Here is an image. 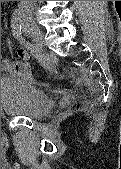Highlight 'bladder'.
Returning a JSON list of instances; mask_svg holds the SVG:
<instances>
[{"instance_id": "obj_1", "label": "bladder", "mask_w": 121, "mask_h": 169, "mask_svg": "<svg viewBox=\"0 0 121 169\" xmlns=\"http://www.w3.org/2000/svg\"><path fill=\"white\" fill-rule=\"evenodd\" d=\"M50 97L18 78H1V107L8 115L39 118L52 109Z\"/></svg>"}]
</instances>
